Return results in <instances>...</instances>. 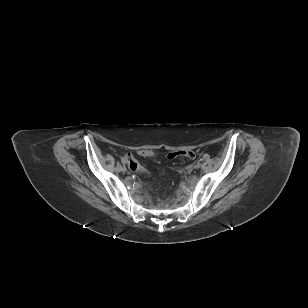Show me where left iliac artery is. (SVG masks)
Listing matches in <instances>:
<instances>
[{"mask_svg": "<svg viewBox=\"0 0 308 308\" xmlns=\"http://www.w3.org/2000/svg\"><path fill=\"white\" fill-rule=\"evenodd\" d=\"M203 158H204V160H206V161H207V160H209V158H210V157H209V155H207V154H206V155H204V157H203Z\"/></svg>", "mask_w": 308, "mask_h": 308, "instance_id": "1", "label": "left iliac artery"}]
</instances>
